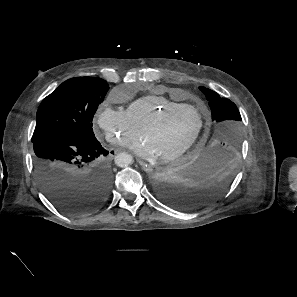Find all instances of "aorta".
<instances>
[{"label": "aorta", "mask_w": 297, "mask_h": 297, "mask_svg": "<svg viewBox=\"0 0 297 297\" xmlns=\"http://www.w3.org/2000/svg\"><path fill=\"white\" fill-rule=\"evenodd\" d=\"M114 160L119 167H125L133 163L132 156L127 153H119Z\"/></svg>", "instance_id": "762f6f07"}]
</instances>
